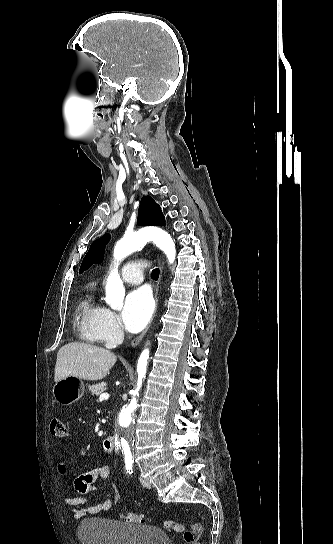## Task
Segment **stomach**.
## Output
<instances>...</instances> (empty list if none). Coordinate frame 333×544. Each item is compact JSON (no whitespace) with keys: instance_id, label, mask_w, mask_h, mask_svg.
<instances>
[{"instance_id":"1","label":"stomach","mask_w":333,"mask_h":544,"mask_svg":"<svg viewBox=\"0 0 333 544\" xmlns=\"http://www.w3.org/2000/svg\"><path fill=\"white\" fill-rule=\"evenodd\" d=\"M83 381L75 376H67L55 383L53 396L57 403L69 406L78 401L84 394Z\"/></svg>"}]
</instances>
